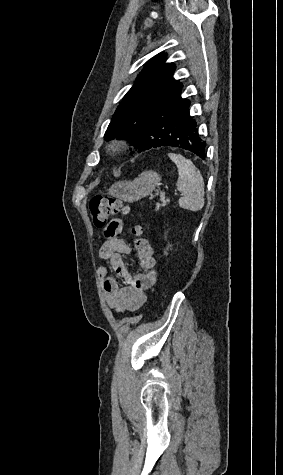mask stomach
<instances>
[{
  "mask_svg": "<svg viewBox=\"0 0 283 475\" xmlns=\"http://www.w3.org/2000/svg\"><path fill=\"white\" fill-rule=\"evenodd\" d=\"M161 178L157 172H142L133 182H117L108 190L110 196L124 200V202H138L141 198L149 196L155 190Z\"/></svg>",
  "mask_w": 283,
  "mask_h": 475,
  "instance_id": "1",
  "label": "stomach"
}]
</instances>
